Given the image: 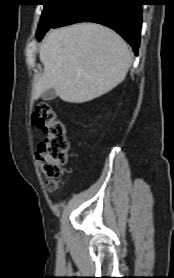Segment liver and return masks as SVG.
I'll use <instances>...</instances> for the list:
<instances>
[{"label": "liver", "mask_w": 174, "mask_h": 278, "mask_svg": "<svg viewBox=\"0 0 174 278\" xmlns=\"http://www.w3.org/2000/svg\"><path fill=\"white\" fill-rule=\"evenodd\" d=\"M39 58L43 75L32 98L54 88L66 102L83 103L111 91L126 77L132 64L126 42L113 30L96 23H80L52 30Z\"/></svg>", "instance_id": "obj_1"}]
</instances>
